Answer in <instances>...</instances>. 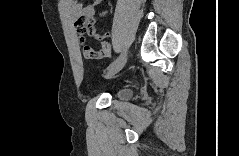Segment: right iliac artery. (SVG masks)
I'll return each instance as SVG.
<instances>
[{
    "instance_id": "right-iliac-artery-1",
    "label": "right iliac artery",
    "mask_w": 239,
    "mask_h": 156,
    "mask_svg": "<svg viewBox=\"0 0 239 156\" xmlns=\"http://www.w3.org/2000/svg\"><path fill=\"white\" fill-rule=\"evenodd\" d=\"M126 54V50H124L109 66L108 69L116 64L124 55Z\"/></svg>"
}]
</instances>
